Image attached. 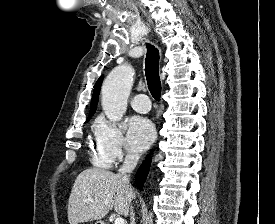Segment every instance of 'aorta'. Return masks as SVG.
<instances>
[{
  "label": "aorta",
  "instance_id": "1",
  "mask_svg": "<svg viewBox=\"0 0 275 224\" xmlns=\"http://www.w3.org/2000/svg\"><path fill=\"white\" fill-rule=\"evenodd\" d=\"M133 76V68L124 64L114 68L103 83L102 108L112 122L120 121L126 112Z\"/></svg>",
  "mask_w": 275,
  "mask_h": 224
}]
</instances>
